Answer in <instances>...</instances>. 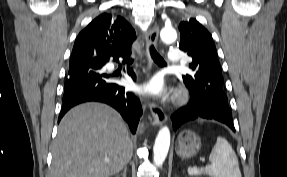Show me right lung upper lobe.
<instances>
[{
  "mask_svg": "<svg viewBox=\"0 0 287 177\" xmlns=\"http://www.w3.org/2000/svg\"><path fill=\"white\" fill-rule=\"evenodd\" d=\"M136 39L132 26L122 17L103 13L83 29L75 40L70 57V67L87 61L98 54L119 51L131 53V44Z\"/></svg>",
  "mask_w": 287,
  "mask_h": 177,
  "instance_id": "obj_1",
  "label": "right lung upper lobe"
}]
</instances>
